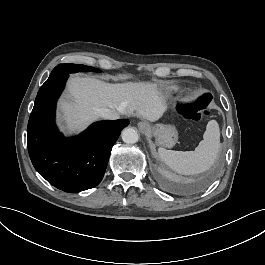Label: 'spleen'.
Returning a JSON list of instances; mask_svg holds the SVG:
<instances>
[{"label": "spleen", "instance_id": "spleen-1", "mask_svg": "<svg viewBox=\"0 0 265 265\" xmlns=\"http://www.w3.org/2000/svg\"><path fill=\"white\" fill-rule=\"evenodd\" d=\"M220 148V129L216 120L206 126L203 140L194 151H174L158 148L160 159L173 171L181 175H197L211 168Z\"/></svg>", "mask_w": 265, "mask_h": 265}]
</instances>
